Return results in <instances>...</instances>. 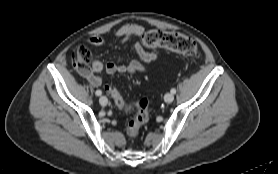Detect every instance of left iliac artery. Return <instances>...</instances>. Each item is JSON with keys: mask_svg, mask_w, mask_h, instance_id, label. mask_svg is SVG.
<instances>
[{"mask_svg": "<svg viewBox=\"0 0 278 174\" xmlns=\"http://www.w3.org/2000/svg\"><path fill=\"white\" fill-rule=\"evenodd\" d=\"M171 93H172V94H175V93H176V89H175V88H172V89H171Z\"/></svg>", "mask_w": 278, "mask_h": 174, "instance_id": "obj_1", "label": "left iliac artery"}]
</instances>
